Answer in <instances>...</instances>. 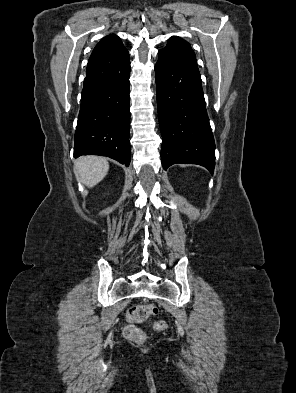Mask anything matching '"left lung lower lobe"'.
<instances>
[{"label":"left lung lower lobe","instance_id":"obj_1","mask_svg":"<svg viewBox=\"0 0 296 393\" xmlns=\"http://www.w3.org/2000/svg\"><path fill=\"white\" fill-rule=\"evenodd\" d=\"M158 54L155 73L162 166L166 170L175 163H192L213 173L215 143L197 61Z\"/></svg>","mask_w":296,"mask_h":393}]
</instances>
